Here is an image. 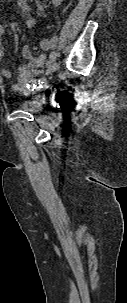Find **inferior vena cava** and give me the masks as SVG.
I'll use <instances>...</instances> for the list:
<instances>
[{
    "label": "inferior vena cava",
    "mask_w": 127,
    "mask_h": 303,
    "mask_svg": "<svg viewBox=\"0 0 127 303\" xmlns=\"http://www.w3.org/2000/svg\"><path fill=\"white\" fill-rule=\"evenodd\" d=\"M63 0H52V3L55 5V6H58L61 4Z\"/></svg>",
    "instance_id": "obj_1"
}]
</instances>
